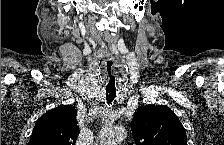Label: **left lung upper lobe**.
<instances>
[{
  "instance_id": "obj_1",
  "label": "left lung upper lobe",
  "mask_w": 224,
  "mask_h": 145,
  "mask_svg": "<svg viewBox=\"0 0 224 145\" xmlns=\"http://www.w3.org/2000/svg\"><path fill=\"white\" fill-rule=\"evenodd\" d=\"M131 129L137 145H187L183 125L164 105L138 108Z\"/></svg>"
}]
</instances>
